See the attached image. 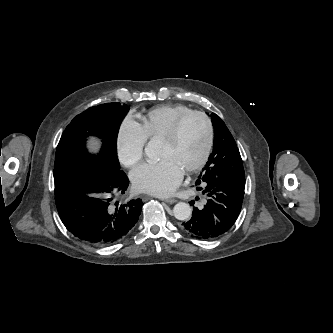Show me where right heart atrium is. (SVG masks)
Segmentation results:
<instances>
[{
    "label": "right heart atrium",
    "instance_id": "right-heart-atrium-1",
    "mask_svg": "<svg viewBox=\"0 0 333 333\" xmlns=\"http://www.w3.org/2000/svg\"><path fill=\"white\" fill-rule=\"evenodd\" d=\"M148 137L138 121L127 115L121 122L115 148L119 161L126 167H133L143 157L144 147Z\"/></svg>",
    "mask_w": 333,
    "mask_h": 333
}]
</instances>
